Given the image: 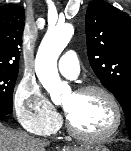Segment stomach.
<instances>
[{
	"label": "stomach",
	"mask_w": 131,
	"mask_h": 151,
	"mask_svg": "<svg viewBox=\"0 0 131 151\" xmlns=\"http://www.w3.org/2000/svg\"><path fill=\"white\" fill-rule=\"evenodd\" d=\"M72 151H109V149L102 144H89L81 147L79 150Z\"/></svg>",
	"instance_id": "0dacf381"
}]
</instances>
